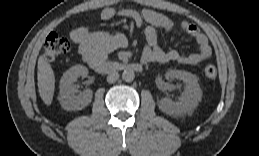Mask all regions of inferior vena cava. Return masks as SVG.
<instances>
[{"mask_svg": "<svg viewBox=\"0 0 259 156\" xmlns=\"http://www.w3.org/2000/svg\"><path fill=\"white\" fill-rule=\"evenodd\" d=\"M118 78H119L118 72L113 71V72H111V73L108 74V76H107V82H109V83H114V82H116V81L118 80Z\"/></svg>", "mask_w": 259, "mask_h": 156, "instance_id": "inferior-vena-cava-1", "label": "inferior vena cava"}]
</instances>
